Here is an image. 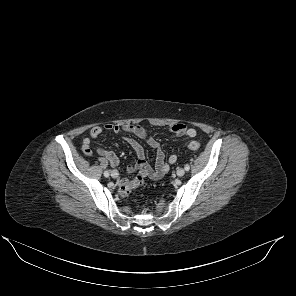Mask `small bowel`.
<instances>
[{"label":"small bowel","instance_id":"small-bowel-1","mask_svg":"<svg viewBox=\"0 0 296 296\" xmlns=\"http://www.w3.org/2000/svg\"><path fill=\"white\" fill-rule=\"evenodd\" d=\"M105 131L113 133H125L124 139L131 145L135 150L138 161L127 167V172L134 173L139 172L143 178L147 177L153 180L160 179L165 173L168 172L170 165L177 161V155L171 154L168 159L165 158V153L162 149L161 144L150 134V132L141 125L134 124H106L105 126H96L90 130L89 136L84 138L82 141V151L85 155L92 154V146L95 140L101 136ZM171 133L174 137H195L196 129L194 127H186L184 124L176 123L170 128ZM136 136L144 140L151 148L155 150V168H152L146 161V153L144 148L133 138ZM95 151L102 157H104L113 167L119 165V158L112 151L101 146L96 145ZM127 179H120L119 185L122 186L128 183Z\"/></svg>","mask_w":296,"mask_h":296}]
</instances>
